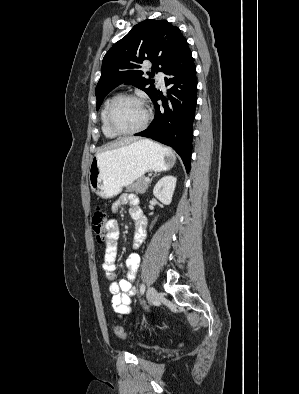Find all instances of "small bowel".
I'll list each match as a JSON object with an SVG mask.
<instances>
[{
	"instance_id": "c3829d8e",
	"label": "small bowel",
	"mask_w": 299,
	"mask_h": 394,
	"mask_svg": "<svg viewBox=\"0 0 299 394\" xmlns=\"http://www.w3.org/2000/svg\"><path fill=\"white\" fill-rule=\"evenodd\" d=\"M130 205L129 214L135 222V232L133 246L139 248L146 238L147 220L142 208L139 206V199L135 194H123L112 205L113 212H116L123 205ZM107 239L105 243V254L103 270L110 281L109 291L112 294V307L119 317L132 313V296L136 290L134 280L140 263L138 253H131L126 260L127 276L116 281V257L117 242L120 235L117 220L109 219L106 224Z\"/></svg>"
}]
</instances>
